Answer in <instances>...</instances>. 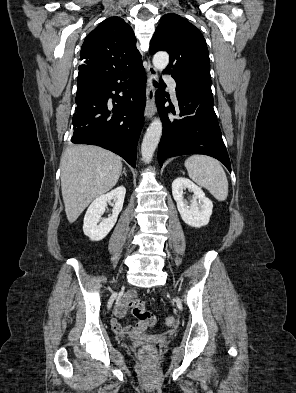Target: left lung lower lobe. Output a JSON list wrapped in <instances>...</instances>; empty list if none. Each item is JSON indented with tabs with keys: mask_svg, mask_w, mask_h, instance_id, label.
I'll list each match as a JSON object with an SVG mask.
<instances>
[{
	"mask_svg": "<svg viewBox=\"0 0 296 393\" xmlns=\"http://www.w3.org/2000/svg\"><path fill=\"white\" fill-rule=\"evenodd\" d=\"M161 83L163 81L161 80ZM180 120H169L166 99L158 90L155 100L163 122V133L158 147V162L185 154H205L221 161L231 172L230 160L222 139L221 130L213 108L211 90L189 88L176 90Z\"/></svg>",
	"mask_w": 296,
	"mask_h": 393,
	"instance_id": "0a47b994",
	"label": "left lung lower lobe"
}]
</instances>
